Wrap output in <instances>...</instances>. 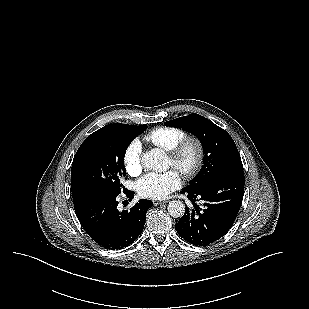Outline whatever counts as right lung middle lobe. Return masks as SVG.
Returning a JSON list of instances; mask_svg holds the SVG:
<instances>
[{"label":"right lung middle lobe","mask_w":309,"mask_h":309,"mask_svg":"<svg viewBox=\"0 0 309 309\" xmlns=\"http://www.w3.org/2000/svg\"><path fill=\"white\" fill-rule=\"evenodd\" d=\"M147 126L115 123L89 135L79 147L71 168L73 195L119 194L126 175L124 156L131 141Z\"/></svg>","instance_id":"1"}]
</instances>
